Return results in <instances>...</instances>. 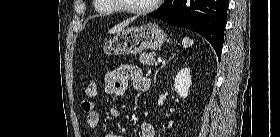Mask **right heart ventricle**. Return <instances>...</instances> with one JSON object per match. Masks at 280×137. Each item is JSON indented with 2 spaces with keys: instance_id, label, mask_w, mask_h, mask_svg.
Masks as SVG:
<instances>
[{
  "instance_id": "1",
  "label": "right heart ventricle",
  "mask_w": 280,
  "mask_h": 137,
  "mask_svg": "<svg viewBox=\"0 0 280 137\" xmlns=\"http://www.w3.org/2000/svg\"><path fill=\"white\" fill-rule=\"evenodd\" d=\"M95 1V12L101 16H107L116 13V10L108 5V0H94Z\"/></svg>"
}]
</instances>
